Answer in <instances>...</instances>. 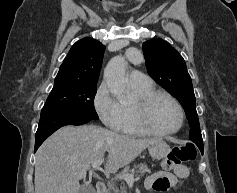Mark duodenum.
I'll use <instances>...</instances> for the list:
<instances>
[{
    "label": "duodenum",
    "instance_id": "1",
    "mask_svg": "<svg viewBox=\"0 0 237 193\" xmlns=\"http://www.w3.org/2000/svg\"><path fill=\"white\" fill-rule=\"evenodd\" d=\"M96 193H107V188L104 182H97L96 183Z\"/></svg>",
    "mask_w": 237,
    "mask_h": 193
}]
</instances>
